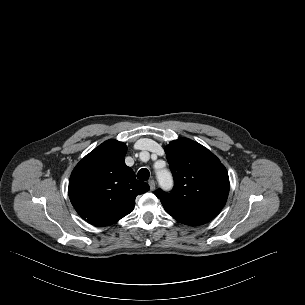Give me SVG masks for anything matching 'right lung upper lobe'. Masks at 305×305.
<instances>
[{
	"label": "right lung upper lobe",
	"instance_id": "obj_1",
	"mask_svg": "<svg viewBox=\"0 0 305 305\" xmlns=\"http://www.w3.org/2000/svg\"><path fill=\"white\" fill-rule=\"evenodd\" d=\"M127 147L108 140L86 155L69 180V198L77 213L95 226H109L131 213L147 183L135 178L124 162Z\"/></svg>",
	"mask_w": 305,
	"mask_h": 305
}]
</instances>
